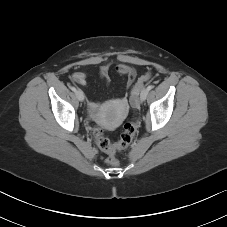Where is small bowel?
I'll return each instance as SVG.
<instances>
[{
	"label": "small bowel",
	"instance_id": "obj_1",
	"mask_svg": "<svg viewBox=\"0 0 227 227\" xmlns=\"http://www.w3.org/2000/svg\"><path fill=\"white\" fill-rule=\"evenodd\" d=\"M109 72H110L109 65H103L100 67L99 75L106 83L110 81ZM116 72L119 75L125 77L127 87H131L133 85L136 79V70L133 67L125 63H120L116 66ZM72 81L80 85H85L87 83V77L82 72H75L72 75ZM90 107L92 109H95L96 104L94 102H91Z\"/></svg>",
	"mask_w": 227,
	"mask_h": 227
}]
</instances>
